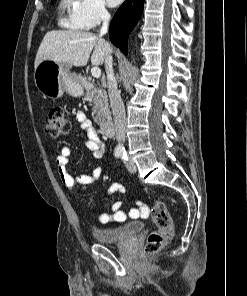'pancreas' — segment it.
I'll return each instance as SVG.
<instances>
[{"label":"pancreas","mask_w":247,"mask_h":296,"mask_svg":"<svg viewBox=\"0 0 247 296\" xmlns=\"http://www.w3.org/2000/svg\"><path fill=\"white\" fill-rule=\"evenodd\" d=\"M85 99L93 103L92 117L95 123L102 124L105 119L110 118V110L105 89L97 88L96 86L88 88Z\"/></svg>","instance_id":"cf45deb5"}]
</instances>
